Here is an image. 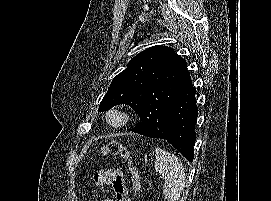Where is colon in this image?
I'll use <instances>...</instances> for the list:
<instances>
[{
    "label": "colon",
    "mask_w": 271,
    "mask_h": 201,
    "mask_svg": "<svg viewBox=\"0 0 271 201\" xmlns=\"http://www.w3.org/2000/svg\"><path fill=\"white\" fill-rule=\"evenodd\" d=\"M101 154L102 156L121 157L126 160L129 166L133 185L138 187L140 181L139 174L132 163L130 151L124 144L119 141H111L102 147Z\"/></svg>",
    "instance_id": "colon-1"
}]
</instances>
